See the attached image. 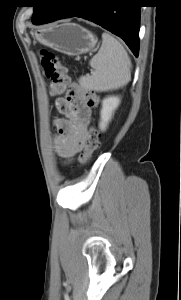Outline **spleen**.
Returning a JSON list of instances; mask_svg holds the SVG:
<instances>
[{
  "label": "spleen",
  "mask_w": 181,
  "mask_h": 300,
  "mask_svg": "<svg viewBox=\"0 0 181 300\" xmlns=\"http://www.w3.org/2000/svg\"><path fill=\"white\" fill-rule=\"evenodd\" d=\"M89 64L94 73L79 79L80 85L85 89L112 91L125 86L130 80V57L123 45L107 32L102 34L101 48Z\"/></svg>",
  "instance_id": "obj_1"
}]
</instances>
